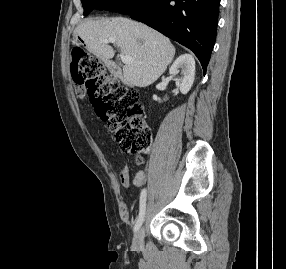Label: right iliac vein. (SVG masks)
<instances>
[{
	"label": "right iliac vein",
	"instance_id": "right-iliac-vein-1",
	"mask_svg": "<svg viewBox=\"0 0 286 269\" xmlns=\"http://www.w3.org/2000/svg\"><path fill=\"white\" fill-rule=\"evenodd\" d=\"M143 239H144V229L141 228L134 235L132 244L133 248L136 250L141 249L143 247Z\"/></svg>",
	"mask_w": 286,
	"mask_h": 269
}]
</instances>
